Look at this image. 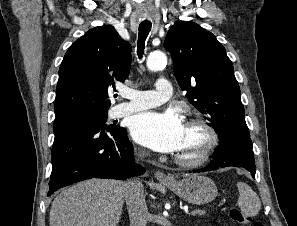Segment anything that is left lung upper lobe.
<instances>
[{"instance_id":"1","label":"left lung upper lobe","mask_w":297,"mask_h":226,"mask_svg":"<svg viewBox=\"0 0 297 226\" xmlns=\"http://www.w3.org/2000/svg\"><path fill=\"white\" fill-rule=\"evenodd\" d=\"M164 47L182 91L225 141L250 139L233 64L223 45L201 26L178 21L167 33Z\"/></svg>"}]
</instances>
